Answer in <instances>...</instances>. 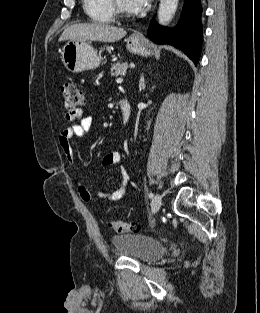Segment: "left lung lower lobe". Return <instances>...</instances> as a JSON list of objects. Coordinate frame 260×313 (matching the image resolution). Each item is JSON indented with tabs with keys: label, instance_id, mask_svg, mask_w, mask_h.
I'll list each match as a JSON object with an SVG mask.
<instances>
[{
	"label": "left lung lower lobe",
	"instance_id": "left-lung-lower-lobe-1",
	"mask_svg": "<svg viewBox=\"0 0 260 313\" xmlns=\"http://www.w3.org/2000/svg\"><path fill=\"white\" fill-rule=\"evenodd\" d=\"M202 7L200 0H184L181 18L176 27L168 29L151 21L148 37L157 44H169L182 51L197 65L201 53Z\"/></svg>",
	"mask_w": 260,
	"mask_h": 313
}]
</instances>
